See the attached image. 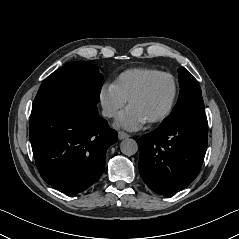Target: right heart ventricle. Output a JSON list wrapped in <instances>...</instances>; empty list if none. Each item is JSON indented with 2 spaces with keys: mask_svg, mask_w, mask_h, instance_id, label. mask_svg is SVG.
Instances as JSON below:
<instances>
[{
  "mask_svg": "<svg viewBox=\"0 0 239 239\" xmlns=\"http://www.w3.org/2000/svg\"><path fill=\"white\" fill-rule=\"evenodd\" d=\"M159 73L158 70L146 67H135L123 71L115 79L114 85L121 96L128 100L148 78Z\"/></svg>",
  "mask_w": 239,
  "mask_h": 239,
  "instance_id": "1",
  "label": "right heart ventricle"
}]
</instances>
